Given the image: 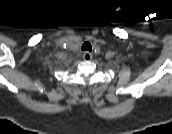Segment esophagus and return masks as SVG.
I'll list each match as a JSON object with an SVG mask.
<instances>
[{"mask_svg": "<svg viewBox=\"0 0 172 134\" xmlns=\"http://www.w3.org/2000/svg\"><path fill=\"white\" fill-rule=\"evenodd\" d=\"M83 59L86 60V61H89L92 59V53H90L89 51H85L83 53Z\"/></svg>", "mask_w": 172, "mask_h": 134, "instance_id": "obj_1", "label": "esophagus"}]
</instances>
